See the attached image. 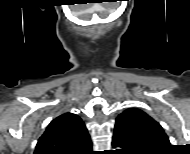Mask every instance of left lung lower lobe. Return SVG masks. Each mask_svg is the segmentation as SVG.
Wrapping results in <instances>:
<instances>
[{
	"mask_svg": "<svg viewBox=\"0 0 190 154\" xmlns=\"http://www.w3.org/2000/svg\"><path fill=\"white\" fill-rule=\"evenodd\" d=\"M113 147H121L122 154H149L153 151L139 144L129 133L124 123L116 122L113 134Z\"/></svg>",
	"mask_w": 190,
	"mask_h": 154,
	"instance_id": "0a47b994",
	"label": "left lung lower lobe"
}]
</instances>
